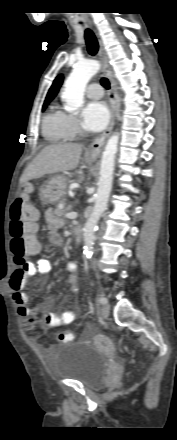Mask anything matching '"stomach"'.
<instances>
[{
  "label": "stomach",
  "mask_w": 177,
  "mask_h": 440,
  "mask_svg": "<svg viewBox=\"0 0 177 440\" xmlns=\"http://www.w3.org/2000/svg\"><path fill=\"white\" fill-rule=\"evenodd\" d=\"M96 157H87L88 161H94ZM68 178L64 175H55L45 182L41 188L39 197L43 204L57 203L65 194Z\"/></svg>",
  "instance_id": "0dacf381"
}]
</instances>
